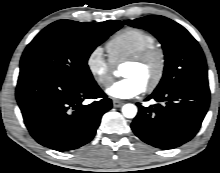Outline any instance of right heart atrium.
<instances>
[{
    "label": "right heart atrium",
    "instance_id": "1",
    "mask_svg": "<svg viewBox=\"0 0 220 173\" xmlns=\"http://www.w3.org/2000/svg\"><path fill=\"white\" fill-rule=\"evenodd\" d=\"M86 67L93 80L107 87L113 80L114 64L107 59L101 47L93 48L86 57Z\"/></svg>",
    "mask_w": 220,
    "mask_h": 173
}]
</instances>
